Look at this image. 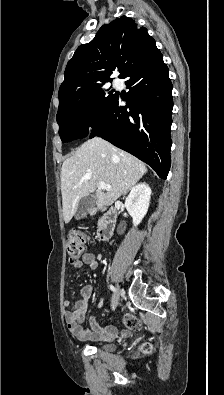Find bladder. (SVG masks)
I'll return each instance as SVG.
<instances>
[{"instance_id":"31cf9c89","label":"bladder","mask_w":224,"mask_h":395,"mask_svg":"<svg viewBox=\"0 0 224 395\" xmlns=\"http://www.w3.org/2000/svg\"><path fill=\"white\" fill-rule=\"evenodd\" d=\"M97 348L101 349L103 351H113L114 345L108 344V343H100V344H97Z\"/></svg>"}]
</instances>
